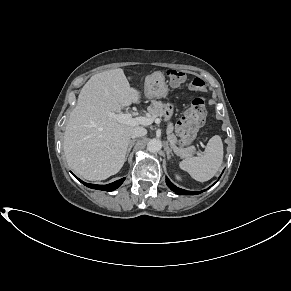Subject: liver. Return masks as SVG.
Here are the masks:
<instances>
[{
	"instance_id": "liver-1",
	"label": "liver",
	"mask_w": 291,
	"mask_h": 291,
	"mask_svg": "<svg viewBox=\"0 0 291 291\" xmlns=\"http://www.w3.org/2000/svg\"><path fill=\"white\" fill-rule=\"evenodd\" d=\"M140 98L141 92L130 87L121 68L97 73L87 81L64 132L65 157L75 173L100 181L120 171L134 126L107 113H120Z\"/></svg>"
}]
</instances>
